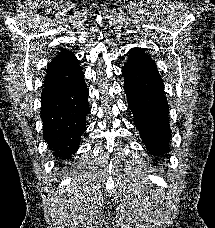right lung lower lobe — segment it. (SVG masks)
I'll return each instance as SVG.
<instances>
[{
    "label": "right lung lower lobe",
    "mask_w": 215,
    "mask_h": 228,
    "mask_svg": "<svg viewBox=\"0 0 215 228\" xmlns=\"http://www.w3.org/2000/svg\"><path fill=\"white\" fill-rule=\"evenodd\" d=\"M64 87L42 101L43 139L52 154L62 160L71 158L86 130V115L90 112L88 89L84 74L74 80L62 81Z\"/></svg>",
    "instance_id": "98d812e1"
}]
</instances>
